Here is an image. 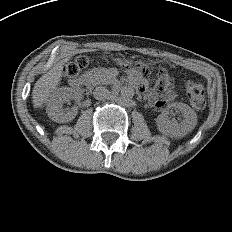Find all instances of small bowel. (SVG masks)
Returning a JSON list of instances; mask_svg holds the SVG:
<instances>
[{"label": "small bowel", "mask_w": 232, "mask_h": 232, "mask_svg": "<svg viewBox=\"0 0 232 232\" xmlns=\"http://www.w3.org/2000/svg\"><path fill=\"white\" fill-rule=\"evenodd\" d=\"M141 90L145 92L146 98L151 104H159L157 102L155 94L148 88V83L146 81H141Z\"/></svg>", "instance_id": "c3829d8e"}]
</instances>
